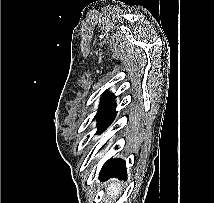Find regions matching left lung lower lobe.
<instances>
[{"mask_svg":"<svg viewBox=\"0 0 214 203\" xmlns=\"http://www.w3.org/2000/svg\"><path fill=\"white\" fill-rule=\"evenodd\" d=\"M116 103L112 102L98 117H97V132L102 133L114 120L117 112L115 111ZM111 177H119L125 179L127 177L125 161L121 159L108 160L101 169L100 178L105 180Z\"/></svg>","mask_w":214,"mask_h":203,"instance_id":"1","label":"left lung lower lobe"}]
</instances>
